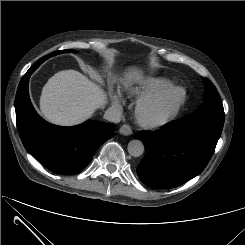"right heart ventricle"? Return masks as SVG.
Segmentation results:
<instances>
[{
    "label": "right heart ventricle",
    "instance_id": "obj_1",
    "mask_svg": "<svg viewBox=\"0 0 245 245\" xmlns=\"http://www.w3.org/2000/svg\"><path fill=\"white\" fill-rule=\"evenodd\" d=\"M171 86V82L165 78L153 77L144 80L135 86L125 88L127 95L133 99L141 100L145 97L156 95Z\"/></svg>",
    "mask_w": 245,
    "mask_h": 245
}]
</instances>
